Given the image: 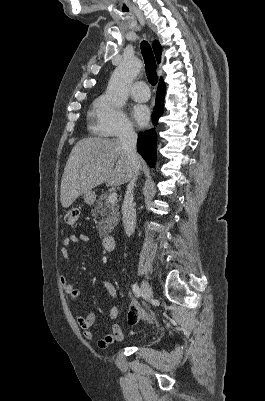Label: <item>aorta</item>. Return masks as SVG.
I'll return each instance as SVG.
<instances>
[{"label": "aorta", "instance_id": "1", "mask_svg": "<svg viewBox=\"0 0 265 401\" xmlns=\"http://www.w3.org/2000/svg\"><path fill=\"white\" fill-rule=\"evenodd\" d=\"M142 66L139 58L133 60H123L115 68L106 88L107 96L114 106H122L126 102L129 94V86L140 72Z\"/></svg>", "mask_w": 265, "mask_h": 401}]
</instances>
